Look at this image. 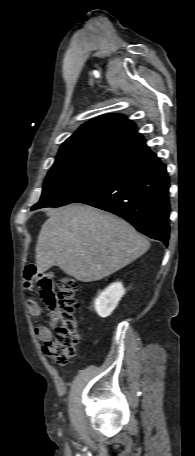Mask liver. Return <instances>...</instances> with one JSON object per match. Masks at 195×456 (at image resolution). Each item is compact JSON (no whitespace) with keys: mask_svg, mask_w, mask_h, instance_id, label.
<instances>
[{"mask_svg":"<svg viewBox=\"0 0 195 456\" xmlns=\"http://www.w3.org/2000/svg\"><path fill=\"white\" fill-rule=\"evenodd\" d=\"M148 240L115 215L88 205L70 204L51 211L37 245L39 273L58 266L78 281L103 279L143 255Z\"/></svg>","mask_w":195,"mask_h":456,"instance_id":"liver-1","label":"liver"}]
</instances>
